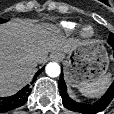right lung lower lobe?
I'll list each match as a JSON object with an SVG mask.
<instances>
[{"mask_svg": "<svg viewBox=\"0 0 114 114\" xmlns=\"http://www.w3.org/2000/svg\"><path fill=\"white\" fill-rule=\"evenodd\" d=\"M43 69L44 67L35 74L33 82L36 80V77L43 71ZM30 92L31 88L27 85L13 96L4 98L0 97V112H7L22 106L27 101Z\"/></svg>", "mask_w": 114, "mask_h": 114, "instance_id": "obj_1", "label": "right lung lower lobe"}]
</instances>
